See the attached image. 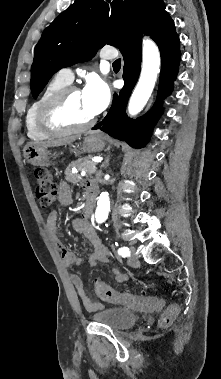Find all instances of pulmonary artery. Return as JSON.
Wrapping results in <instances>:
<instances>
[{
	"mask_svg": "<svg viewBox=\"0 0 221 379\" xmlns=\"http://www.w3.org/2000/svg\"><path fill=\"white\" fill-rule=\"evenodd\" d=\"M100 57L105 60L114 59L117 57V52L114 49H103L100 53ZM57 77L67 83H70L73 80L74 73L71 68L66 67L58 71Z\"/></svg>",
	"mask_w": 221,
	"mask_h": 379,
	"instance_id": "obj_1",
	"label": "pulmonary artery"
}]
</instances>
